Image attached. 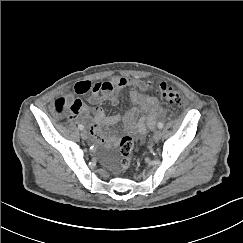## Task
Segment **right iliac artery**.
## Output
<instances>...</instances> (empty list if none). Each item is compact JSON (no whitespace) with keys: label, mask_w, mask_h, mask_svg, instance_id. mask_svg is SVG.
<instances>
[{"label":"right iliac artery","mask_w":243,"mask_h":243,"mask_svg":"<svg viewBox=\"0 0 243 243\" xmlns=\"http://www.w3.org/2000/svg\"><path fill=\"white\" fill-rule=\"evenodd\" d=\"M78 128H79L80 130H83V129H84V126H83L82 124H80V125H78Z\"/></svg>","instance_id":"right-iliac-artery-1"}]
</instances>
